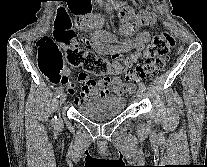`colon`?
Wrapping results in <instances>:
<instances>
[{
  "mask_svg": "<svg viewBox=\"0 0 207 167\" xmlns=\"http://www.w3.org/2000/svg\"><path fill=\"white\" fill-rule=\"evenodd\" d=\"M174 44L172 35L163 32L154 36L145 50H136L130 56L118 59L116 62L122 71H125L126 83L134 84L164 70L168 54ZM64 58L68 64L82 67L84 71L94 76L110 73L112 62L90 49L78 46L70 15L65 9H61L54 20L53 38L42 37L37 42V65L41 74L49 81L58 83L62 77ZM140 58L144 60L131 69L133 63Z\"/></svg>",
  "mask_w": 207,
  "mask_h": 167,
  "instance_id": "5ec220e1",
  "label": "colon"
}]
</instances>
